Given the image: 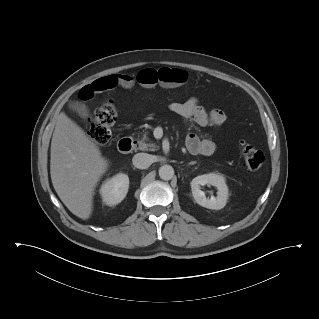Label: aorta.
Returning <instances> with one entry per match:
<instances>
[{"instance_id": "aorta-1", "label": "aorta", "mask_w": 319, "mask_h": 319, "mask_svg": "<svg viewBox=\"0 0 319 319\" xmlns=\"http://www.w3.org/2000/svg\"><path fill=\"white\" fill-rule=\"evenodd\" d=\"M159 176L163 180H171L174 176V169L170 165H163L159 168Z\"/></svg>"}]
</instances>
